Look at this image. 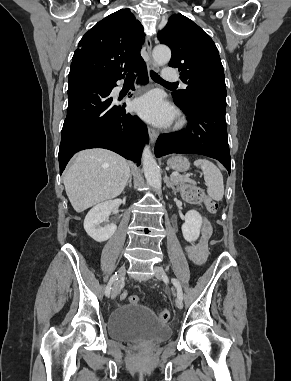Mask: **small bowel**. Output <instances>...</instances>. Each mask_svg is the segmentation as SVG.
Returning <instances> with one entry per match:
<instances>
[{
  "instance_id": "obj_1",
  "label": "small bowel",
  "mask_w": 291,
  "mask_h": 381,
  "mask_svg": "<svg viewBox=\"0 0 291 381\" xmlns=\"http://www.w3.org/2000/svg\"><path fill=\"white\" fill-rule=\"evenodd\" d=\"M211 234L212 228L210 223L206 219H202L200 239L197 242L188 244L186 246L188 256L194 263L201 264L205 259L207 252V243Z\"/></svg>"
}]
</instances>
